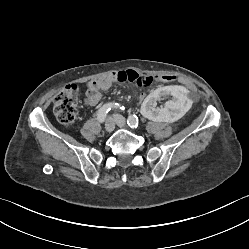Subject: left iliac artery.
<instances>
[{
  "label": "left iliac artery",
  "mask_w": 249,
  "mask_h": 249,
  "mask_svg": "<svg viewBox=\"0 0 249 249\" xmlns=\"http://www.w3.org/2000/svg\"><path fill=\"white\" fill-rule=\"evenodd\" d=\"M127 124L131 128H137L138 127V117L136 115H130L127 120Z\"/></svg>",
  "instance_id": "44dca946"
}]
</instances>
